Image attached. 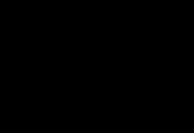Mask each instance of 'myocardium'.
I'll return each instance as SVG.
<instances>
[{
  "label": "myocardium",
  "mask_w": 194,
  "mask_h": 133,
  "mask_svg": "<svg viewBox=\"0 0 194 133\" xmlns=\"http://www.w3.org/2000/svg\"><path fill=\"white\" fill-rule=\"evenodd\" d=\"M115 15H116V13L112 14L108 18V20L105 23L104 29L108 27V25L111 23V21H112V19L114 18ZM132 18L134 20V29H133L132 35L130 36L129 40L126 43H124L123 45H121V46H125V45L129 44L132 41V39L134 38V36H135L136 30H137V21H136V19H135V17L133 15H132Z\"/></svg>",
  "instance_id": "obj_1"
}]
</instances>
